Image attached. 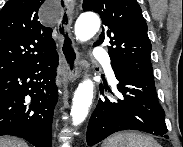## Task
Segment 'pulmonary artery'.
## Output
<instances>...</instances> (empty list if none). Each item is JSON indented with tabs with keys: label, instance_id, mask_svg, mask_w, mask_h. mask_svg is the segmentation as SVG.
I'll list each match as a JSON object with an SVG mask.
<instances>
[{
	"label": "pulmonary artery",
	"instance_id": "1",
	"mask_svg": "<svg viewBox=\"0 0 183 147\" xmlns=\"http://www.w3.org/2000/svg\"><path fill=\"white\" fill-rule=\"evenodd\" d=\"M93 55H94L95 58L103 59V57L106 56V53L101 48H96L94 50V52H93ZM103 60H104L103 61V67H104L105 71L107 72L108 76L111 79H114V73H113V70H112L110 59L109 58H105Z\"/></svg>",
	"mask_w": 183,
	"mask_h": 147
}]
</instances>
